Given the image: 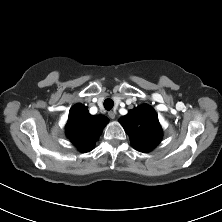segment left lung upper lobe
Masks as SVG:
<instances>
[{
  "mask_svg": "<svg viewBox=\"0 0 222 222\" xmlns=\"http://www.w3.org/2000/svg\"><path fill=\"white\" fill-rule=\"evenodd\" d=\"M119 122L129 135L132 146L141 152H149L162 139L157 114L147 104L133 108L129 114L120 118Z\"/></svg>",
  "mask_w": 222,
  "mask_h": 222,
  "instance_id": "left-lung-upper-lobe-1",
  "label": "left lung upper lobe"
}]
</instances>
